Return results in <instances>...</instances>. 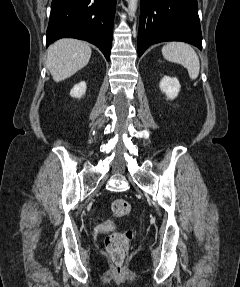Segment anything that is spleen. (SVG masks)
Instances as JSON below:
<instances>
[{
	"label": "spleen",
	"instance_id": "spleen-1",
	"mask_svg": "<svg viewBox=\"0 0 240 287\" xmlns=\"http://www.w3.org/2000/svg\"><path fill=\"white\" fill-rule=\"evenodd\" d=\"M164 58L178 63L188 70L189 77L195 80L200 71V62L195 50L183 42H169L162 47Z\"/></svg>",
	"mask_w": 240,
	"mask_h": 287
}]
</instances>
